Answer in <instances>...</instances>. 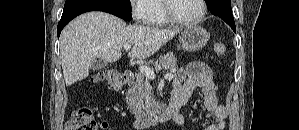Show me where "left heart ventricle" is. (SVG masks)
<instances>
[{
	"instance_id": "b2bd125f",
	"label": "left heart ventricle",
	"mask_w": 299,
	"mask_h": 130,
	"mask_svg": "<svg viewBox=\"0 0 299 130\" xmlns=\"http://www.w3.org/2000/svg\"><path fill=\"white\" fill-rule=\"evenodd\" d=\"M172 12L181 19H193L200 13L199 0H173Z\"/></svg>"
}]
</instances>
